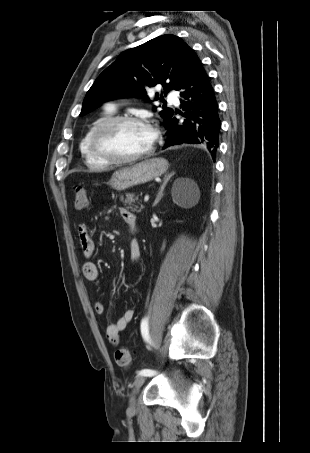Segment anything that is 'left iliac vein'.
<instances>
[{"label": "left iliac vein", "mask_w": 310, "mask_h": 453, "mask_svg": "<svg viewBox=\"0 0 310 453\" xmlns=\"http://www.w3.org/2000/svg\"><path fill=\"white\" fill-rule=\"evenodd\" d=\"M145 382V376L144 375H138L133 383V391L131 394L130 398V406H129V412L130 413H135L136 412V394L139 392L140 388Z\"/></svg>", "instance_id": "obj_1"}]
</instances>
